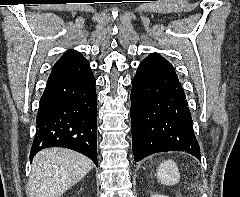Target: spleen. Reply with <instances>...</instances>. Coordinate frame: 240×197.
I'll list each match as a JSON object with an SVG mask.
<instances>
[{
	"label": "spleen",
	"mask_w": 240,
	"mask_h": 197,
	"mask_svg": "<svg viewBox=\"0 0 240 197\" xmlns=\"http://www.w3.org/2000/svg\"><path fill=\"white\" fill-rule=\"evenodd\" d=\"M158 181L164 185L171 186L179 182L180 174L174 161L166 160L157 169Z\"/></svg>",
	"instance_id": "obj_1"
}]
</instances>
